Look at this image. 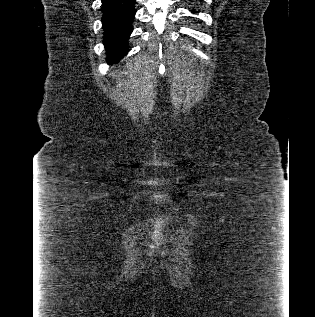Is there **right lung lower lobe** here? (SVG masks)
Returning a JSON list of instances; mask_svg holds the SVG:
<instances>
[{
    "label": "right lung lower lobe",
    "mask_w": 315,
    "mask_h": 317,
    "mask_svg": "<svg viewBox=\"0 0 315 317\" xmlns=\"http://www.w3.org/2000/svg\"><path fill=\"white\" fill-rule=\"evenodd\" d=\"M135 0H102L103 44L107 62L118 63L129 51L128 39L133 31Z\"/></svg>",
    "instance_id": "1"
}]
</instances>
